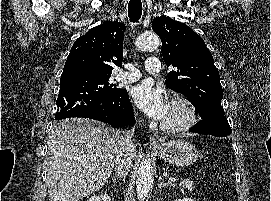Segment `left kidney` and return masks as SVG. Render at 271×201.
Returning a JSON list of instances; mask_svg holds the SVG:
<instances>
[{
	"label": "left kidney",
	"mask_w": 271,
	"mask_h": 201,
	"mask_svg": "<svg viewBox=\"0 0 271 201\" xmlns=\"http://www.w3.org/2000/svg\"><path fill=\"white\" fill-rule=\"evenodd\" d=\"M174 201H195L191 198H188V197H185V198H182V199H177V200H174Z\"/></svg>",
	"instance_id": "1"
}]
</instances>
